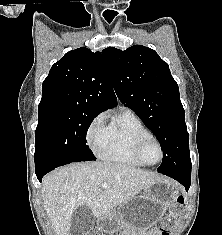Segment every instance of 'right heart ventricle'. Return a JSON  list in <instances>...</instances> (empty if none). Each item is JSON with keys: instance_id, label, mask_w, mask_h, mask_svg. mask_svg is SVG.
<instances>
[{"instance_id": "e07e8e85", "label": "right heart ventricle", "mask_w": 222, "mask_h": 235, "mask_svg": "<svg viewBox=\"0 0 222 235\" xmlns=\"http://www.w3.org/2000/svg\"><path fill=\"white\" fill-rule=\"evenodd\" d=\"M150 134L134 112L121 109L105 126L104 137L97 154L105 161L129 167H141L142 164L135 158L133 149L140 137Z\"/></svg>"}]
</instances>
